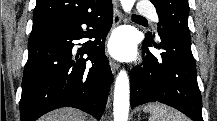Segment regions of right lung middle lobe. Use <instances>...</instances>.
<instances>
[{"mask_svg":"<svg viewBox=\"0 0 217 121\" xmlns=\"http://www.w3.org/2000/svg\"><path fill=\"white\" fill-rule=\"evenodd\" d=\"M55 23H58V22H40V23H35V24H33L32 30H36V29H39V28H42V27H45V26L53 25Z\"/></svg>","mask_w":217,"mask_h":121,"instance_id":"right-lung-middle-lobe-1","label":"right lung middle lobe"}]
</instances>
